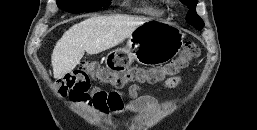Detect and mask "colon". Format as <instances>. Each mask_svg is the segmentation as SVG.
I'll return each instance as SVG.
<instances>
[{
  "label": "colon",
  "mask_w": 257,
  "mask_h": 130,
  "mask_svg": "<svg viewBox=\"0 0 257 130\" xmlns=\"http://www.w3.org/2000/svg\"><path fill=\"white\" fill-rule=\"evenodd\" d=\"M199 54V46L194 42H188L173 61L157 67L133 66L121 71L102 67L97 62H86L60 78L56 83V91L61 96L81 100L89 96L88 91L92 80L110 84L116 88H122L130 82L155 84L178 74Z\"/></svg>",
  "instance_id": "1"
}]
</instances>
